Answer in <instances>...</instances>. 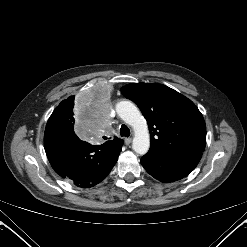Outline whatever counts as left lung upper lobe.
I'll return each instance as SVG.
<instances>
[{"instance_id": "5c2ea615", "label": "left lung upper lobe", "mask_w": 247, "mask_h": 247, "mask_svg": "<svg viewBox=\"0 0 247 247\" xmlns=\"http://www.w3.org/2000/svg\"><path fill=\"white\" fill-rule=\"evenodd\" d=\"M121 92L137 104L147 120L150 150L204 151L206 125L191 100L162 84L132 83Z\"/></svg>"}]
</instances>
